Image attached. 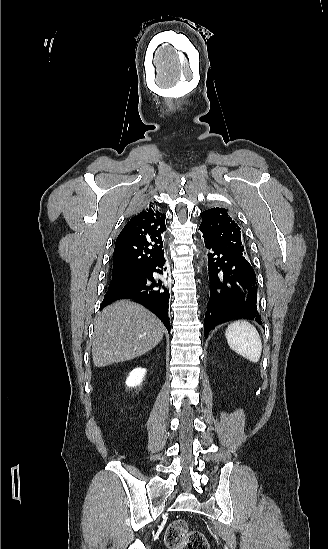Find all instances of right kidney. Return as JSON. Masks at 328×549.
I'll return each instance as SVG.
<instances>
[{"mask_svg":"<svg viewBox=\"0 0 328 549\" xmlns=\"http://www.w3.org/2000/svg\"><path fill=\"white\" fill-rule=\"evenodd\" d=\"M146 373V369H133L126 379L127 387H138L142 383V379Z\"/></svg>","mask_w":328,"mask_h":549,"instance_id":"obj_1","label":"right kidney"}]
</instances>
